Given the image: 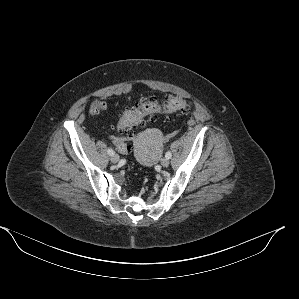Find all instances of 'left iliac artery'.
<instances>
[{"instance_id":"44dca946","label":"left iliac artery","mask_w":299,"mask_h":299,"mask_svg":"<svg viewBox=\"0 0 299 299\" xmlns=\"http://www.w3.org/2000/svg\"><path fill=\"white\" fill-rule=\"evenodd\" d=\"M165 157L170 159L172 157V153L170 151L166 152Z\"/></svg>"}]
</instances>
